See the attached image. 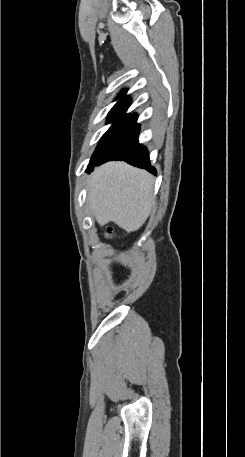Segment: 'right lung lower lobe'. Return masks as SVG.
Listing matches in <instances>:
<instances>
[{
  "label": "right lung lower lobe",
  "mask_w": 245,
  "mask_h": 457,
  "mask_svg": "<svg viewBox=\"0 0 245 457\" xmlns=\"http://www.w3.org/2000/svg\"><path fill=\"white\" fill-rule=\"evenodd\" d=\"M139 131L137 115L133 113L128 116L94 166L111 160H123L133 166L145 168L149 172L156 173L155 168L150 165L147 148L138 143Z\"/></svg>",
  "instance_id": "1"
}]
</instances>
